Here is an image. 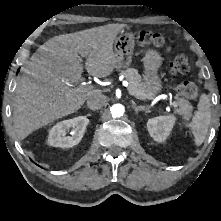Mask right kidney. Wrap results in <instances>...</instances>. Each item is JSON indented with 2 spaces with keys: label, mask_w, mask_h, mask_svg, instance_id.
Masks as SVG:
<instances>
[{
  "label": "right kidney",
  "mask_w": 221,
  "mask_h": 221,
  "mask_svg": "<svg viewBox=\"0 0 221 221\" xmlns=\"http://www.w3.org/2000/svg\"><path fill=\"white\" fill-rule=\"evenodd\" d=\"M88 123L89 119L85 116L58 122L49 131L48 144L61 148H69L77 145L81 141ZM70 129L71 135H66Z\"/></svg>",
  "instance_id": "right-kidney-1"
}]
</instances>
